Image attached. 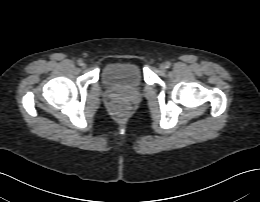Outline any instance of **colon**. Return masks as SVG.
Here are the masks:
<instances>
[{
  "label": "colon",
  "instance_id": "colon-1",
  "mask_svg": "<svg viewBox=\"0 0 260 202\" xmlns=\"http://www.w3.org/2000/svg\"><path fill=\"white\" fill-rule=\"evenodd\" d=\"M113 108H114V111L117 114V116H119L121 118L126 117L129 112V106L123 102L114 103Z\"/></svg>",
  "mask_w": 260,
  "mask_h": 202
}]
</instances>
